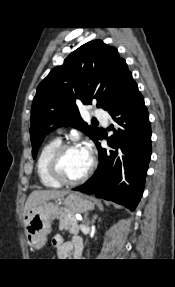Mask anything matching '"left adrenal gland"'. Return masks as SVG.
I'll list each match as a JSON object with an SVG mask.
<instances>
[{
    "label": "left adrenal gland",
    "mask_w": 175,
    "mask_h": 287,
    "mask_svg": "<svg viewBox=\"0 0 175 287\" xmlns=\"http://www.w3.org/2000/svg\"><path fill=\"white\" fill-rule=\"evenodd\" d=\"M85 220H87V214L85 215Z\"/></svg>",
    "instance_id": "1"
}]
</instances>
